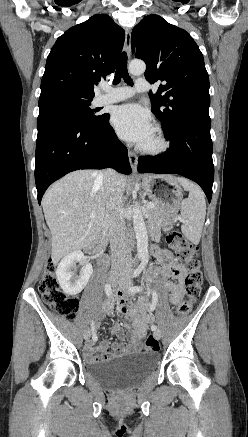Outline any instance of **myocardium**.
Listing matches in <instances>:
<instances>
[{
  "instance_id": "obj_1",
  "label": "myocardium",
  "mask_w": 248,
  "mask_h": 437,
  "mask_svg": "<svg viewBox=\"0 0 248 437\" xmlns=\"http://www.w3.org/2000/svg\"><path fill=\"white\" fill-rule=\"evenodd\" d=\"M153 133L155 136L156 144L153 146L140 144L138 149L145 155L159 156L164 154L169 149L170 143L160 127L156 126L153 129Z\"/></svg>"
}]
</instances>
